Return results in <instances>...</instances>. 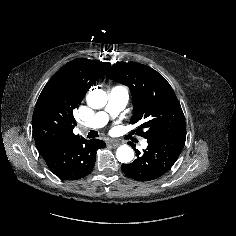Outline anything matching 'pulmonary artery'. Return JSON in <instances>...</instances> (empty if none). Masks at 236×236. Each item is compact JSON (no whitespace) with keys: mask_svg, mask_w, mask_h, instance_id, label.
<instances>
[{"mask_svg":"<svg viewBox=\"0 0 236 236\" xmlns=\"http://www.w3.org/2000/svg\"><path fill=\"white\" fill-rule=\"evenodd\" d=\"M129 97V92L126 87L114 86L111 88L108 97V104L104 111H100L85 124L86 128H101L109 121L110 118L116 117L125 107ZM142 145L147 146V142L143 141Z\"/></svg>","mask_w":236,"mask_h":236,"instance_id":"obj_1","label":"pulmonary artery"}]
</instances>
